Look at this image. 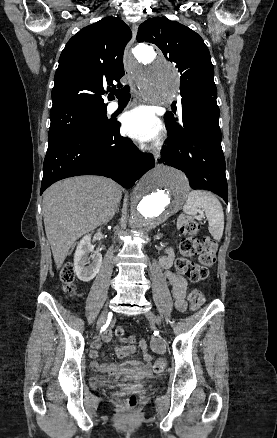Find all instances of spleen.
Wrapping results in <instances>:
<instances>
[{
  "label": "spleen",
  "instance_id": "obj_1",
  "mask_svg": "<svg viewBox=\"0 0 277 438\" xmlns=\"http://www.w3.org/2000/svg\"><path fill=\"white\" fill-rule=\"evenodd\" d=\"M198 210H203L209 222V232L214 240H221L224 230L223 208L216 196L205 190H193L190 192L185 206L184 214L195 216Z\"/></svg>",
  "mask_w": 277,
  "mask_h": 438
}]
</instances>
